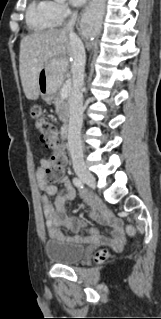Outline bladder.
<instances>
[{"instance_id":"1","label":"bladder","mask_w":161,"mask_h":319,"mask_svg":"<svg viewBox=\"0 0 161 319\" xmlns=\"http://www.w3.org/2000/svg\"><path fill=\"white\" fill-rule=\"evenodd\" d=\"M47 259L57 265H72L85 255V246L68 238L51 237L43 247Z\"/></svg>"}]
</instances>
